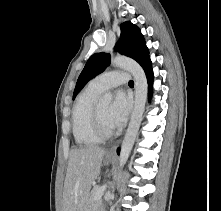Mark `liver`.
<instances>
[{
  "label": "liver",
  "mask_w": 221,
  "mask_h": 211,
  "mask_svg": "<svg viewBox=\"0 0 221 211\" xmlns=\"http://www.w3.org/2000/svg\"><path fill=\"white\" fill-rule=\"evenodd\" d=\"M105 153V149L98 146L71 150L64 182L62 211H83L91 185L100 173Z\"/></svg>",
  "instance_id": "1"
}]
</instances>
